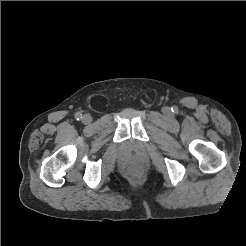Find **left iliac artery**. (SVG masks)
<instances>
[{
	"mask_svg": "<svg viewBox=\"0 0 246 246\" xmlns=\"http://www.w3.org/2000/svg\"><path fill=\"white\" fill-rule=\"evenodd\" d=\"M172 112L177 113V108L176 107L172 108Z\"/></svg>",
	"mask_w": 246,
	"mask_h": 246,
	"instance_id": "left-iliac-artery-1",
	"label": "left iliac artery"
}]
</instances>
